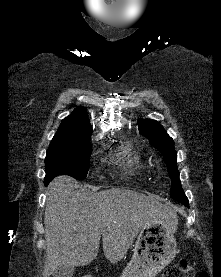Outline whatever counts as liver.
<instances>
[{
  "label": "liver",
  "instance_id": "obj_1",
  "mask_svg": "<svg viewBox=\"0 0 221 277\" xmlns=\"http://www.w3.org/2000/svg\"><path fill=\"white\" fill-rule=\"evenodd\" d=\"M74 182L69 176H58L46 192L44 277L61 266L91 263L101 235L105 257L116 264L145 224L177 216L159 201L132 190H76Z\"/></svg>",
  "mask_w": 221,
  "mask_h": 277
}]
</instances>
